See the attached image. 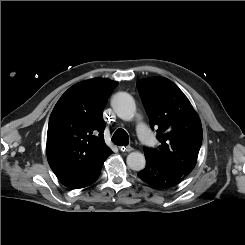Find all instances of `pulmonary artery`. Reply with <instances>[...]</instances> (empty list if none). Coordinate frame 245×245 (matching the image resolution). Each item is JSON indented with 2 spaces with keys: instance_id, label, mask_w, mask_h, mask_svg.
<instances>
[{
  "instance_id": "obj_1",
  "label": "pulmonary artery",
  "mask_w": 245,
  "mask_h": 245,
  "mask_svg": "<svg viewBox=\"0 0 245 245\" xmlns=\"http://www.w3.org/2000/svg\"><path fill=\"white\" fill-rule=\"evenodd\" d=\"M136 131L140 140L146 145L151 146L154 143V137L148 126L143 120L137 122Z\"/></svg>"
}]
</instances>
